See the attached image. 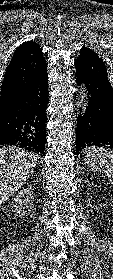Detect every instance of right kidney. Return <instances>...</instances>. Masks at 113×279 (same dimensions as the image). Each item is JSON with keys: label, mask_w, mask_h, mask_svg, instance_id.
Here are the masks:
<instances>
[{"label": "right kidney", "mask_w": 113, "mask_h": 279, "mask_svg": "<svg viewBox=\"0 0 113 279\" xmlns=\"http://www.w3.org/2000/svg\"><path fill=\"white\" fill-rule=\"evenodd\" d=\"M33 191L31 186L20 190L18 194L13 198L11 203V210L18 216L22 217L26 214L25 209L32 207Z\"/></svg>", "instance_id": "obj_1"}]
</instances>
